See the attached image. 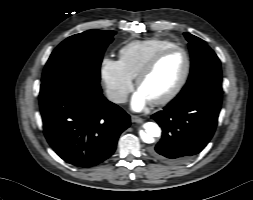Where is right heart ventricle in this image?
Returning <instances> with one entry per match:
<instances>
[{
  "mask_svg": "<svg viewBox=\"0 0 253 200\" xmlns=\"http://www.w3.org/2000/svg\"><path fill=\"white\" fill-rule=\"evenodd\" d=\"M173 46L176 44L160 38L131 41L120 48L119 61L124 71L131 78H135L157 53Z\"/></svg>",
  "mask_w": 253,
  "mask_h": 200,
  "instance_id": "e07e8e85",
  "label": "right heart ventricle"
}]
</instances>
